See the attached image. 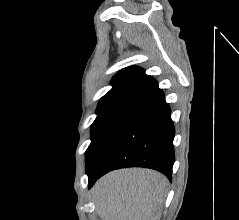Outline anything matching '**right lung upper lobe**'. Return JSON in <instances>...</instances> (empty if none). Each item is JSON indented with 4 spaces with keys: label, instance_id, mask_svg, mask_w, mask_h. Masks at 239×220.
<instances>
[{
    "label": "right lung upper lobe",
    "instance_id": "cb5924a9",
    "mask_svg": "<svg viewBox=\"0 0 239 220\" xmlns=\"http://www.w3.org/2000/svg\"><path fill=\"white\" fill-rule=\"evenodd\" d=\"M112 89L104 95L97 107V114L111 109L133 106L146 94L158 87L156 80L140 67H128L112 79Z\"/></svg>",
    "mask_w": 239,
    "mask_h": 220
}]
</instances>
